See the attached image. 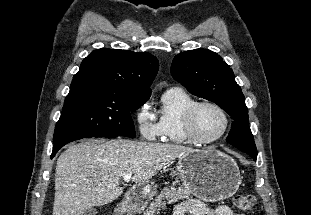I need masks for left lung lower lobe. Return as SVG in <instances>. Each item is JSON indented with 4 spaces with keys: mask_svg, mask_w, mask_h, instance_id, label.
Instances as JSON below:
<instances>
[{
    "mask_svg": "<svg viewBox=\"0 0 311 215\" xmlns=\"http://www.w3.org/2000/svg\"><path fill=\"white\" fill-rule=\"evenodd\" d=\"M254 160H256L257 156H251Z\"/></svg>",
    "mask_w": 311,
    "mask_h": 215,
    "instance_id": "left-lung-lower-lobe-1",
    "label": "left lung lower lobe"
}]
</instances>
